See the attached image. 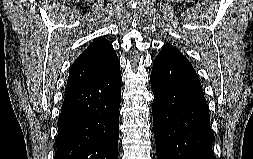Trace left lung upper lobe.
I'll return each instance as SVG.
<instances>
[{
	"label": "left lung upper lobe",
	"mask_w": 253,
	"mask_h": 159,
	"mask_svg": "<svg viewBox=\"0 0 253 159\" xmlns=\"http://www.w3.org/2000/svg\"><path fill=\"white\" fill-rule=\"evenodd\" d=\"M161 51H176L171 46H164Z\"/></svg>",
	"instance_id": "5c2ea615"
}]
</instances>
